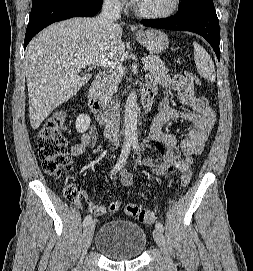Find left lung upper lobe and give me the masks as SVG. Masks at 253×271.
Wrapping results in <instances>:
<instances>
[{
  "instance_id": "obj_1",
  "label": "left lung upper lobe",
  "mask_w": 253,
  "mask_h": 271,
  "mask_svg": "<svg viewBox=\"0 0 253 271\" xmlns=\"http://www.w3.org/2000/svg\"><path fill=\"white\" fill-rule=\"evenodd\" d=\"M204 0H181L179 5V11L181 13H187L195 8H198L202 5Z\"/></svg>"
}]
</instances>
